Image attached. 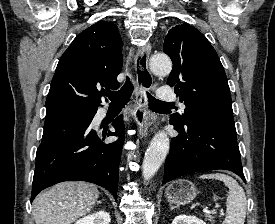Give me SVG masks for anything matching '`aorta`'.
Masks as SVG:
<instances>
[{
	"mask_svg": "<svg viewBox=\"0 0 275 224\" xmlns=\"http://www.w3.org/2000/svg\"><path fill=\"white\" fill-rule=\"evenodd\" d=\"M151 71L159 76H167L172 70V62L167 55L155 54L149 61ZM170 147V140L164 131H159L152 138L142 164L145 181L150 180L164 162Z\"/></svg>",
	"mask_w": 275,
	"mask_h": 224,
	"instance_id": "1",
	"label": "aorta"
}]
</instances>
